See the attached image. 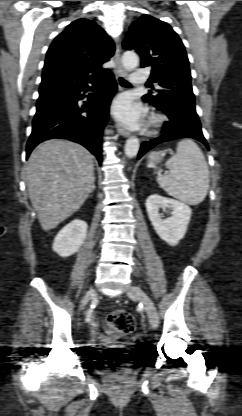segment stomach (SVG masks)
I'll use <instances>...</instances> for the list:
<instances>
[{
  "label": "stomach",
  "mask_w": 242,
  "mask_h": 416,
  "mask_svg": "<svg viewBox=\"0 0 242 416\" xmlns=\"http://www.w3.org/2000/svg\"><path fill=\"white\" fill-rule=\"evenodd\" d=\"M148 159L150 163H159L162 160V155L159 152H151Z\"/></svg>",
  "instance_id": "obj_1"
}]
</instances>
